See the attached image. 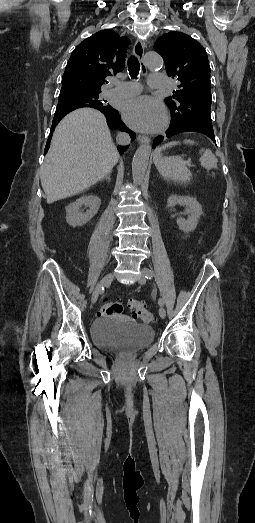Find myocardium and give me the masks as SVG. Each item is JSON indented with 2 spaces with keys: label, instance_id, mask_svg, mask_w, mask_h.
<instances>
[{
  "label": "myocardium",
  "instance_id": "obj_1",
  "mask_svg": "<svg viewBox=\"0 0 255 523\" xmlns=\"http://www.w3.org/2000/svg\"><path fill=\"white\" fill-rule=\"evenodd\" d=\"M169 120H170V119H169V116H166V117H165V120H164V123L167 125V124L169 123Z\"/></svg>",
  "mask_w": 255,
  "mask_h": 523
}]
</instances>
